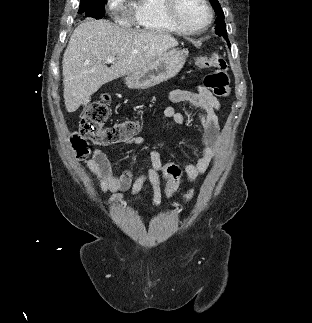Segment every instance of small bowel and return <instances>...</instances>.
I'll return each mask as SVG.
<instances>
[{
    "mask_svg": "<svg viewBox=\"0 0 312 323\" xmlns=\"http://www.w3.org/2000/svg\"><path fill=\"white\" fill-rule=\"evenodd\" d=\"M168 98L171 103H188L196 108V110L190 113V117L200 125L203 150L195 164L184 163L183 165L186 178L194 182L208 170L212 159L220 150L218 114L221 104L210 90L200 85L196 87L195 91L174 89L170 91ZM163 115L177 125H183L186 121V116L173 106L165 107ZM127 143L133 146H142L145 143V139L142 136H134L128 139ZM149 158L150 166L147 173L139 176L134 181L132 171L130 170L115 174L109 159L101 149L94 150L92 156L85 163L87 168L99 179L102 192H114L108 202L109 205H113L124 199V192L127 190L133 196L138 194L147 181L152 186L153 198L161 199L160 174L156 172V169L158 167L163 169V165L159 163L162 156L158 151L153 150L150 152Z\"/></svg>",
    "mask_w": 312,
    "mask_h": 323,
    "instance_id": "c3829d8e",
    "label": "small bowel"
}]
</instances>
